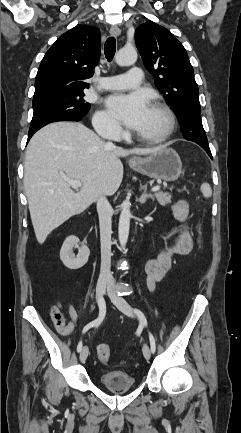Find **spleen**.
<instances>
[{"mask_svg":"<svg viewBox=\"0 0 241 433\" xmlns=\"http://www.w3.org/2000/svg\"><path fill=\"white\" fill-rule=\"evenodd\" d=\"M201 192H202V194H203V196L205 197V198H209V197H211V195H212V189H211V187H210V184H208V183H203L202 185H201Z\"/></svg>","mask_w":241,"mask_h":433,"instance_id":"obj_1","label":"spleen"}]
</instances>
